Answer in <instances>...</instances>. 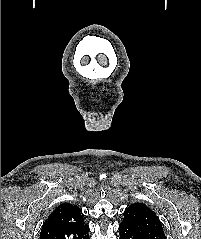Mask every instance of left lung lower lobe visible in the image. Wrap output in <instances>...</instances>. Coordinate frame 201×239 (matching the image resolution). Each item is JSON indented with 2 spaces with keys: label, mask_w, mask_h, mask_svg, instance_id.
I'll use <instances>...</instances> for the list:
<instances>
[{
  "label": "left lung lower lobe",
  "mask_w": 201,
  "mask_h": 239,
  "mask_svg": "<svg viewBox=\"0 0 201 239\" xmlns=\"http://www.w3.org/2000/svg\"><path fill=\"white\" fill-rule=\"evenodd\" d=\"M119 231V239H148L144 234L125 223L119 225Z\"/></svg>",
  "instance_id": "0a47b994"
}]
</instances>
